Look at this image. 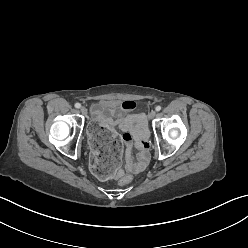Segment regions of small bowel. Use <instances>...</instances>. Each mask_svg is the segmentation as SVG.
<instances>
[{
    "instance_id": "small-bowel-1",
    "label": "small bowel",
    "mask_w": 248,
    "mask_h": 248,
    "mask_svg": "<svg viewBox=\"0 0 248 248\" xmlns=\"http://www.w3.org/2000/svg\"><path fill=\"white\" fill-rule=\"evenodd\" d=\"M105 111L109 117L103 120L108 130L118 126L122 131V140L126 146L125 169L130 173H138L146 166L149 160V143L147 124L144 115L134 112L136 103L124 101L120 104L114 101H104ZM133 147L138 150L135 157L132 154ZM122 170L119 172L121 175Z\"/></svg>"
}]
</instances>
